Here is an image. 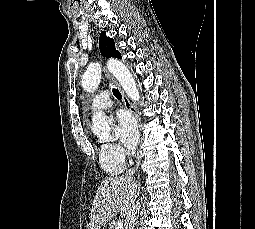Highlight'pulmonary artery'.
Returning <instances> with one entry per match:
<instances>
[{"mask_svg": "<svg viewBox=\"0 0 255 229\" xmlns=\"http://www.w3.org/2000/svg\"><path fill=\"white\" fill-rule=\"evenodd\" d=\"M112 106V101L109 97V92L107 90L100 91L97 93L93 100L91 107L94 110H104Z\"/></svg>", "mask_w": 255, "mask_h": 229, "instance_id": "e3ab8cb5", "label": "pulmonary artery"}]
</instances>
